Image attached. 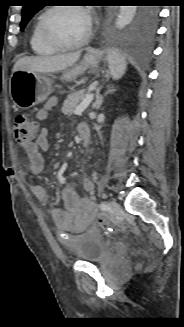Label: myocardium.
<instances>
[{
  "label": "myocardium",
  "mask_w": 184,
  "mask_h": 327,
  "mask_svg": "<svg viewBox=\"0 0 184 327\" xmlns=\"http://www.w3.org/2000/svg\"><path fill=\"white\" fill-rule=\"evenodd\" d=\"M61 9H74L77 11L82 12L88 22V28H87V32L86 34L78 41L76 42H72V43H68V42H63L61 40H59L58 38H56L50 28H49V18L51 16V14L57 10H61ZM40 33L41 36L43 38V40L49 44L50 46H52L53 48L57 49V50H71V49H76L79 47H82L83 45H85L91 38L92 36V21H91V17L89 15V13L86 11V9L82 6H78V5H55V6H51L49 7L41 16L40 19Z\"/></svg>",
  "instance_id": "obj_1"
}]
</instances>
